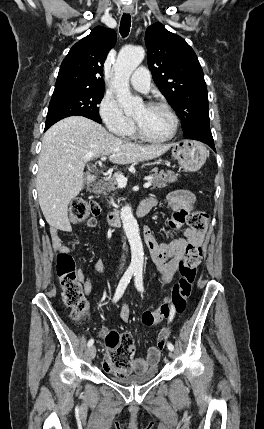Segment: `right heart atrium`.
Returning <instances> with one entry per match:
<instances>
[{
	"mask_svg": "<svg viewBox=\"0 0 264 429\" xmlns=\"http://www.w3.org/2000/svg\"><path fill=\"white\" fill-rule=\"evenodd\" d=\"M98 114L107 130L116 136L125 137L133 130L130 117L121 110L118 102L111 95H104L98 105Z\"/></svg>",
	"mask_w": 264,
	"mask_h": 429,
	"instance_id": "obj_1",
	"label": "right heart atrium"
}]
</instances>
